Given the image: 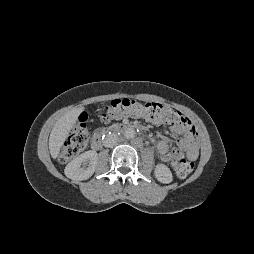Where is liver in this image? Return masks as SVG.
Instances as JSON below:
<instances>
[{"mask_svg":"<svg viewBox=\"0 0 254 254\" xmlns=\"http://www.w3.org/2000/svg\"><path fill=\"white\" fill-rule=\"evenodd\" d=\"M84 109L80 107L67 112L54 125L49 136V151L52 158L56 159L59 156L62 145L75 125L77 117Z\"/></svg>","mask_w":254,"mask_h":254,"instance_id":"1","label":"liver"}]
</instances>
